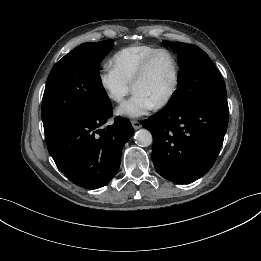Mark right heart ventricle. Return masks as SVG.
I'll use <instances>...</instances> for the list:
<instances>
[{"mask_svg":"<svg viewBox=\"0 0 261 261\" xmlns=\"http://www.w3.org/2000/svg\"><path fill=\"white\" fill-rule=\"evenodd\" d=\"M158 47L137 44L118 50L110 59V67L125 81L132 83L144 59Z\"/></svg>","mask_w":261,"mask_h":261,"instance_id":"obj_1","label":"right heart ventricle"}]
</instances>
